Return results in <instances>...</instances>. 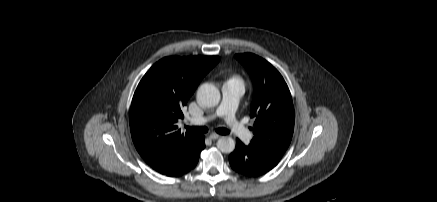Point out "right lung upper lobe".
Returning a JSON list of instances; mask_svg holds the SVG:
<instances>
[{"mask_svg":"<svg viewBox=\"0 0 437 202\" xmlns=\"http://www.w3.org/2000/svg\"><path fill=\"white\" fill-rule=\"evenodd\" d=\"M217 56L165 57L143 76L134 93L129 122L141 157L162 172L181 160L200 135L181 133L176 123Z\"/></svg>","mask_w":437,"mask_h":202,"instance_id":"1","label":"right lung upper lobe"}]
</instances>
